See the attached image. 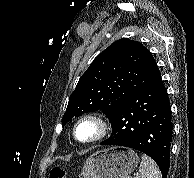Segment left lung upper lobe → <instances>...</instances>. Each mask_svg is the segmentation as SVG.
Returning a JSON list of instances; mask_svg holds the SVG:
<instances>
[{
    "instance_id": "5c2ea615",
    "label": "left lung upper lobe",
    "mask_w": 194,
    "mask_h": 178,
    "mask_svg": "<svg viewBox=\"0 0 194 178\" xmlns=\"http://www.w3.org/2000/svg\"><path fill=\"white\" fill-rule=\"evenodd\" d=\"M160 76L147 48L127 38L117 40L100 53L81 76L69 97L62 125L97 110H102L109 118L126 98Z\"/></svg>"
}]
</instances>
